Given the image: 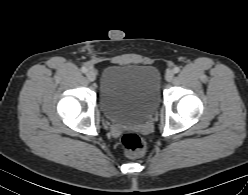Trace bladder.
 Here are the masks:
<instances>
[{
    "mask_svg": "<svg viewBox=\"0 0 248 195\" xmlns=\"http://www.w3.org/2000/svg\"><path fill=\"white\" fill-rule=\"evenodd\" d=\"M161 96V75L152 65L116 64L100 76L99 102L114 123L138 124L148 119Z\"/></svg>",
    "mask_w": 248,
    "mask_h": 195,
    "instance_id": "obj_1",
    "label": "bladder"
}]
</instances>
